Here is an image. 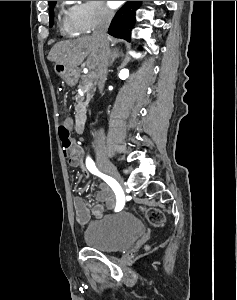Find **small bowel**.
<instances>
[{"label":"small bowel","mask_w":237,"mask_h":300,"mask_svg":"<svg viewBox=\"0 0 237 300\" xmlns=\"http://www.w3.org/2000/svg\"><path fill=\"white\" fill-rule=\"evenodd\" d=\"M63 125L69 130H73L74 121L70 117L63 120ZM65 157L68 159L70 166L81 169L82 181L86 180L89 172L86 168V154L80 145H76L69 151H64ZM96 199L98 203L90 210L85 200L77 196L74 198V208L76 221L80 226L85 225L91 218V215L99 218L103 215L105 210H113L116 208V197L113 189L106 183L101 182L96 192Z\"/></svg>","instance_id":"c3829d8e"}]
</instances>
